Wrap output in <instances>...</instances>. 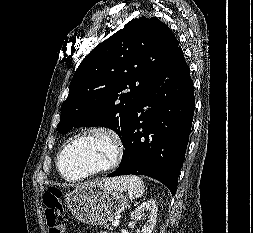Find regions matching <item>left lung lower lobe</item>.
I'll return each mask as SVG.
<instances>
[{
    "label": "left lung lower lobe",
    "instance_id": "left-lung-lower-lobe-1",
    "mask_svg": "<svg viewBox=\"0 0 253 233\" xmlns=\"http://www.w3.org/2000/svg\"><path fill=\"white\" fill-rule=\"evenodd\" d=\"M193 82L183 51H174L164 76L132 114L121 139L125 150L119 168L107 177L145 175L175 195L193 121Z\"/></svg>",
    "mask_w": 253,
    "mask_h": 233
}]
</instances>
